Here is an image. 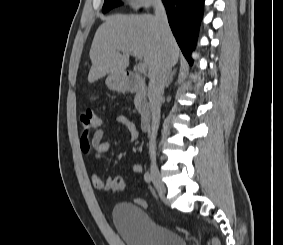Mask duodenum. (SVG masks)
<instances>
[{
  "label": "duodenum",
  "instance_id": "1",
  "mask_svg": "<svg viewBox=\"0 0 283 245\" xmlns=\"http://www.w3.org/2000/svg\"><path fill=\"white\" fill-rule=\"evenodd\" d=\"M121 88L138 96L140 125L142 130H148L151 124V110L147 97V86L144 80L132 72H127L121 81Z\"/></svg>",
  "mask_w": 283,
  "mask_h": 245
}]
</instances>
